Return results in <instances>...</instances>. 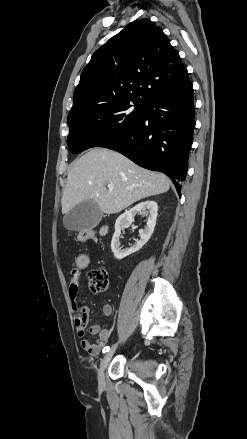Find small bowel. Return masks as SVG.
I'll list each match as a JSON object with an SVG mask.
<instances>
[{
	"instance_id": "1",
	"label": "small bowel",
	"mask_w": 247,
	"mask_h": 439,
	"mask_svg": "<svg viewBox=\"0 0 247 439\" xmlns=\"http://www.w3.org/2000/svg\"><path fill=\"white\" fill-rule=\"evenodd\" d=\"M80 276L81 270L73 268L70 271L68 293L74 314V322L76 325L77 335L82 338L80 342L81 348L91 356H98L106 344L110 332L108 329L102 328L101 325L97 323L89 327V332L93 335H97L96 342L92 343L88 339L83 338L88 329L89 308L87 306L78 304L77 301ZM112 312L113 309L110 304H105L102 307V313L105 317L111 316Z\"/></svg>"
}]
</instances>
